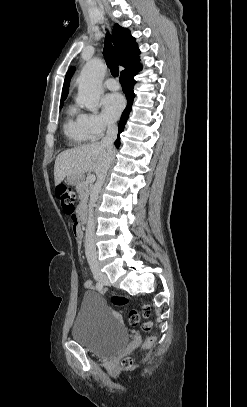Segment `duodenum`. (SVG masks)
<instances>
[{
    "instance_id": "1",
    "label": "duodenum",
    "mask_w": 247,
    "mask_h": 407,
    "mask_svg": "<svg viewBox=\"0 0 247 407\" xmlns=\"http://www.w3.org/2000/svg\"><path fill=\"white\" fill-rule=\"evenodd\" d=\"M87 218V210L84 206H81L78 209V213H77V222L80 223V225H82L83 223H85Z\"/></svg>"
}]
</instances>
